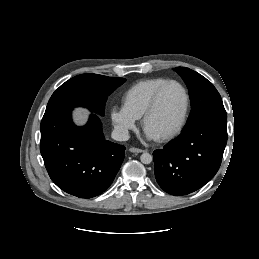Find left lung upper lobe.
Returning a JSON list of instances; mask_svg holds the SVG:
<instances>
[{
  "mask_svg": "<svg viewBox=\"0 0 259 259\" xmlns=\"http://www.w3.org/2000/svg\"><path fill=\"white\" fill-rule=\"evenodd\" d=\"M175 71L185 81L191 101V113L184 129L203 119L227 118L221 96L210 81L186 67H177Z\"/></svg>",
  "mask_w": 259,
  "mask_h": 259,
  "instance_id": "5c2ea615",
  "label": "left lung upper lobe"
}]
</instances>
